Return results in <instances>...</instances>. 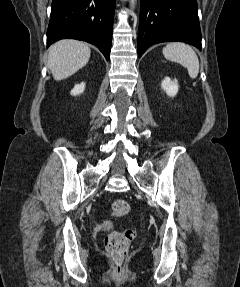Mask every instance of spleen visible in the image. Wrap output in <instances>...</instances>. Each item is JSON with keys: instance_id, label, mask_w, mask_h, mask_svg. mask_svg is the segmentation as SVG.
<instances>
[{"instance_id": "spleen-1", "label": "spleen", "mask_w": 240, "mask_h": 287, "mask_svg": "<svg viewBox=\"0 0 240 287\" xmlns=\"http://www.w3.org/2000/svg\"><path fill=\"white\" fill-rule=\"evenodd\" d=\"M163 55L187 68L190 78L195 79L198 76L199 60L191 46L181 42L168 43L163 48Z\"/></svg>"}]
</instances>
